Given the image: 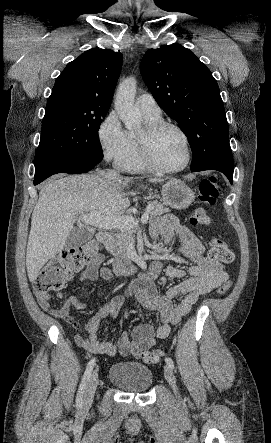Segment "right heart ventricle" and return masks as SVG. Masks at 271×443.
Returning <instances> with one entry per match:
<instances>
[{
	"label": "right heart ventricle",
	"mask_w": 271,
	"mask_h": 443,
	"mask_svg": "<svg viewBox=\"0 0 271 443\" xmlns=\"http://www.w3.org/2000/svg\"><path fill=\"white\" fill-rule=\"evenodd\" d=\"M146 124L161 120L159 116H144ZM139 133H129V153L122 163L121 167L128 172L139 173L148 169V166L144 163L139 142Z\"/></svg>",
	"instance_id": "1"
}]
</instances>
